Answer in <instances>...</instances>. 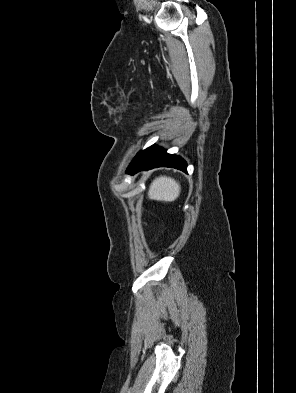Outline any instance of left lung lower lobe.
Returning <instances> with one entry per match:
<instances>
[{
	"label": "left lung lower lobe",
	"mask_w": 296,
	"mask_h": 393,
	"mask_svg": "<svg viewBox=\"0 0 296 393\" xmlns=\"http://www.w3.org/2000/svg\"><path fill=\"white\" fill-rule=\"evenodd\" d=\"M156 167H173L187 172L186 162L182 158L167 154L164 149L152 145L137 154L127 173L134 174L141 170H149Z\"/></svg>",
	"instance_id": "left-lung-lower-lobe-1"
}]
</instances>
